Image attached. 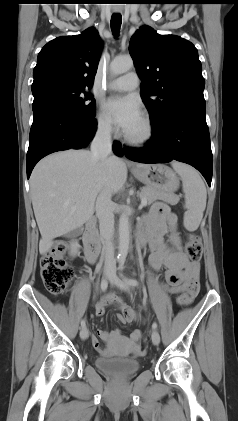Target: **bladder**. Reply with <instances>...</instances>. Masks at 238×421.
I'll use <instances>...</instances> for the list:
<instances>
[{"instance_id":"1","label":"bladder","mask_w":238,"mask_h":421,"mask_svg":"<svg viewBox=\"0 0 238 421\" xmlns=\"http://www.w3.org/2000/svg\"><path fill=\"white\" fill-rule=\"evenodd\" d=\"M96 367L102 372L115 377H128L140 368L138 360L121 357H99L95 361Z\"/></svg>"}]
</instances>
